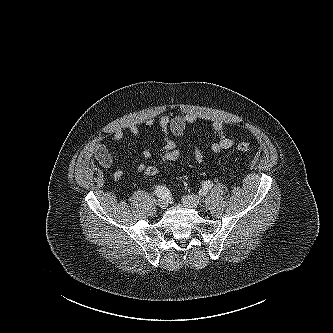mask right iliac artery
Returning a JSON list of instances; mask_svg holds the SVG:
<instances>
[{
    "label": "right iliac artery",
    "instance_id": "82829eb1",
    "mask_svg": "<svg viewBox=\"0 0 333 333\" xmlns=\"http://www.w3.org/2000/svg\"><path fill=\"white\" fill-rule=\"evenodd\" d=\"M156 194L160 198H168L170 196V191L165 186H157Z\"/></svg>",
    "mask_w": 333,
    "mask_h": 333
}]
</instances>
